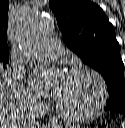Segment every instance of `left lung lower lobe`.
Wrapping results in <instances>:
<instances>
[{"label":"left lung lower lobe","instance_id":"1","mask_svg":"<svg viewBox=\"0 0 125 128\" xmlns=\"http://www.w3.org/2000/svg\"><path fill=\"white\" fill-rule=\"evenodd\" d=\"M105 110L113 111V112H118V113H121V114L125 115V107H120V108L116 107V108H108V109L105 108Z\"/></svg>","mask_w":125,"mask_h":128}]
</instances>
